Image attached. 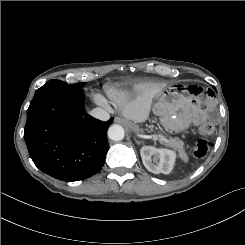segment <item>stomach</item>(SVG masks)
Segmentation results:
<instances>
[{"instance_id":"1","label":"stomach","mask_w":245,"mask_h":245,"mask_svg":"<svg viewBox=\"0 0 245 245\" xmlns=\"http://www.w3.org/2000/svg\"><path fill=\"white\" fill-rule=\"evenodd\" d=\"M155 99L153 113L159 116L161 124L167 131L179 132L190 126L193 117L190 98L181 86H164ZM127 124L135 134L143 132L135 123Z\"/></svg>"}]
</instances>
